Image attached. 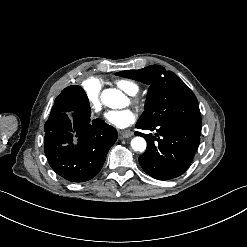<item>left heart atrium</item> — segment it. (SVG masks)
Segmentation results:
<instances>
[{"mask_svg":"<svg viewBox=\"0 0 247 247\" xmlns=\"http://www.w3.org/2000/svg\"><path fill=\"white\" fill-rule=\"evenodd\" d=\"M138 114L134 109L127 108L119 111H109L106 114V120L109 124L117 128H125L134 123Z\"/></svg>","mask_w":247,"mask_h":247,"instance_id":"obj_1","label":"left heart atrium"}]
</instances>
